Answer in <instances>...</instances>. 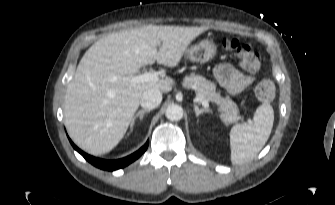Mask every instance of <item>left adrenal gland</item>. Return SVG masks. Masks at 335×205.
<instances>
[{"label":"left adrenal gland","mask_w":335,"mask_h":205,"mask_svg":"<svg viewBox=\"0 0 335 205\" xmlns=\"http://www.w3.org/2000/svg\"><path fill=\"white\" fill-rule=\"evenodd\" d=\"M194 110H195L196 117H199L203 113H209V112H211L210 109H208V108H199L197 105L194 106Z\"/></svg>","instance_id":"1"}]
</instances>
